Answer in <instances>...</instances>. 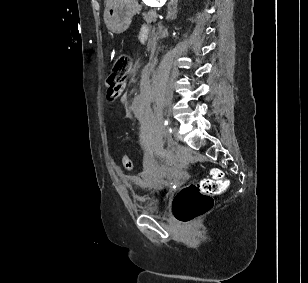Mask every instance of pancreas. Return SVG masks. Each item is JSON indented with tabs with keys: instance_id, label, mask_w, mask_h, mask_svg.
<instances>
[{
	"instance_id": "obj_1",
	"label": "pancreas",
	"mask_w": 308,
	"mask_h": 283,
	"mask_svg": "<svg viewBox=\"0 0 308 283\" xmlns=\"http://www.w3.org/2000/svg\"><path fill=\"white\" fill-rule=\"evenodd\" d=\"M143 18L148 24L156 21L154 11H148L143 13Z\"/></svg>"
}]
</instances>
